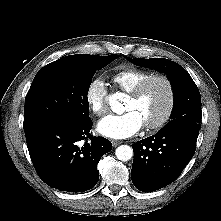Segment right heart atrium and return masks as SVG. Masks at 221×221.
<instances>
[{
	"instance_id": "right-heart-atrium-1",
	"label": "right heart atrium",
	"mask_w": 221,
	"mask_h": 221,
	"mask_svg": "<svg viewBox=\"0 0 221 221\" xmlns=\"http://www.w3.org/2000/svg\"><path fill=\"white\" fill-rule=\"evenodd\" d=\"M107 89L105 83L99 79H93L85 91V101L89 109L97 116H102L107 111Z\"/></svg>"
}]
</instances>
